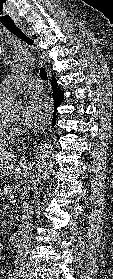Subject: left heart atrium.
<instances>
[{
  "mask_svg": "<svg viewBox=\"0 0 113 279\" xmlns=\"http://www.w3.org/2000/svg\"><path fill=\"white\" fill-rule=\"evenodd\" d=\"M51 103L42 96L33 97L26 107L24 125L32 130L44 128L50 120Z\"/></svg>",
  "mask_w": 113,
  "mask_h": 279,
  "instance_id": "1",
  "label": "left heart atrium"
}]
</instances>
